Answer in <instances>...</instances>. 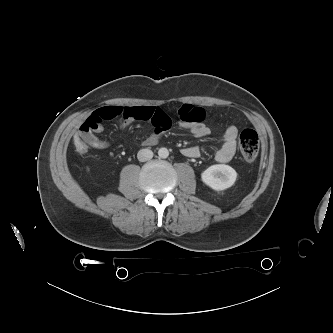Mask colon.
<instances>
[{
    "instance_id": "1",
    "label": "colon",
    "mask_w": 333,
    "mask_h": 333,
    "mask_svg": "<svg viewBox=\"0 0 333 333\" xmlns=\"http://www.w3.org/2000/svg\"><path fill=\"white\" fill-rule=\"evenodd\" d=\"M74 147L78 153H85L88 148V143L81 137L74 138ZM239 148L242 156L248 162L254 161L259 152L258 134L253 129H244L239 136Z\"/></svg>"
}]
</instances>
